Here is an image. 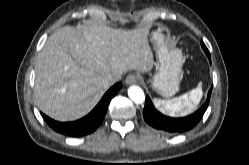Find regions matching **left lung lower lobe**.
<instances>
[{
    "label": "left lung lower lobe",
    "instance_id": "1",
    "mask_svg": "<svg viewBox=\"0 0 249 165\" xmlns=\"http://www.w3.org/2000/svg\"><path fill=\"white\" fill-rule=\"evenodd\" d=\"M209 60L211 59L209 58ZM211 92L212 87L208 92L207 100L204 105L195 113L183 118H171L161 114L155 109L151 99L146 96L145 107L143 109L144 120L151 127L167 134H179L189 131L201 120L209 105Z\"/></svg>",
    "mask_w": 249,
    "mask_h": 165
}]
</instances>
